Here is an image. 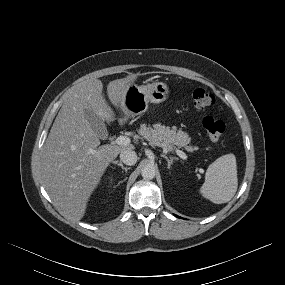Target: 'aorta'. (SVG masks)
I'll list each match as a JSON object with an SVG mask.
<instances>
[{
  "label": "aorta",
  "mask_w": 285,
  "mask_h": 285,
  "mask_svg": "<svg viewBox=\"0 0 285 285\" xmlns=\"http://www.w3.org/2000/svg\"><path fill=\"white\" fill-rule=\"evenodd\" d=\"M156 174V169L153 165H146L141 170V175L144 179H153Z\"/></svg>",
  "instance_id": "obj_1"
}]
</instances>
